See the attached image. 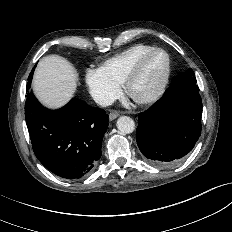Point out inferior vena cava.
Returning a JSON list of instances; mask_svg holds the SVG:
<instances>
[{"label":"inferior vena cava","mask_w":232,"mask_h":232,"mask_svg":"<svg viewBox=\"0 0 232 232\" xmlns=\"http://www.w3.org/2000/svg\"><path fill=\"white\" fill-rule=\"evenodd\" d=\"M94 101L97 104H99L103 107H106V106L111 105L114 102V99L108 95H105V94H96L94 96Z\"/></svg>","instance_id":"1"}]
</instances>
